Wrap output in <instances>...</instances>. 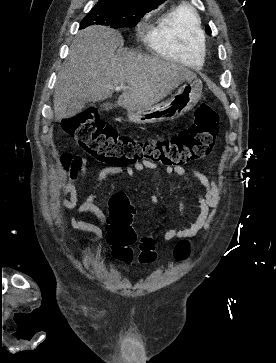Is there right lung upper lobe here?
Wrapping results in <instances>:
<instances>
[{
  "instance_id": "obj_1",
  "label": "right lung upper lobe",
  "mask_w": 276,
  "mask_h": 363,
  "mask_svg": "<svg viewBox=\"0 0 276 363\" xmlns=\"http://www.w3.org/2000/svg\"><path fill=\"white\" fill-rule=\"evenodd\" d=\"M102 2H112L123 5H135V4H146L157 7L159 4L163 3L165 0H99Z\"/></svg>"
}]
</instances>
